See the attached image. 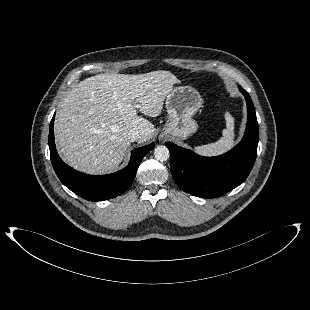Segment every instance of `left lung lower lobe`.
Returning a JSON list of instances; mask_svg holds the SVG:
<instances>
[{"instance_id": "0a47b994", "label": "left lung lower lobe", "mask_w": 310, "mask_h": 310, "mask_svg": "<svg viewBox=\"0 0 310 310\" xmlns=\"http://www.w3.org/2000/svg\"><path fill=\"white\" fill-rule=\"evenodd\" d=\"M247 103V126L243 139L229 152L203 157L189 149L166 142L171 173L185 192L201 198L221 196L245 181L257 155L258 122L249 94L239 86Z\"/></svg>"}]
</instances>
